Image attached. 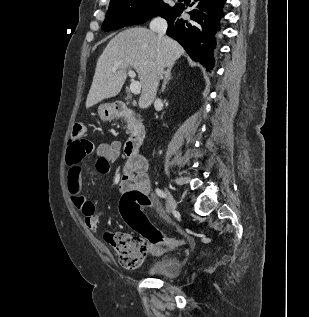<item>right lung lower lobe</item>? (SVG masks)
<instances>
[{
	"label": "right lung lower lobe",
	"instance_id": "right-lung-lower-lobe-1",
	"mask_svg": "<svg viewBox=\"0 0 309 317\" xmlns=\"http://www.w3.org/2000/svg\"><path fill=\"white\" fill-rule=\"evenodd\" d=\"M226 0H194V7L182 19L185 7L176 4L160 14L168 22L167 35L178 41L194 61L200 62L207 70L215 64L213 50L216 46L215 34L220 30V20L224 16Z\"/></svg>",
	"mask_w": 309,
	"mask_h": 317
}]
</instances>
